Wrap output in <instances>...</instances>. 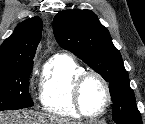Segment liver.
I'll return each mask as SVG.
<instances>
[{"mask_svg": "<svg viewBox=\"0 0 145 124\" xmlns=\"http://www.w3.org/2000/svg\"><path fill=\"white\" fill-rule=\"evenodd\" d=\"M0 124H79L48 114L24 111L0 113Z\"/></svg>", "mask_w": 145, "mask_h": 124, "instance_id": "1", "label": "liver"}]
</instances>
